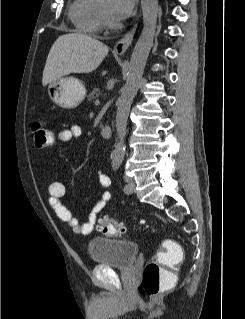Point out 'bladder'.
<instances>
[{
	"label": "bladder",
	"instance_id": "obj_1",
	"mask_svg": "<svg viewBox=\"0 0 245 319\" xmlns=\"http://www.w3.org/2000/svg\"><path fill=\"white\" fill-rule=\"evenodd\" d=\"M88 252L95 264L129 268L138 254V245L128 240L94 238L88 244Z\"/></svg>",
	"mask_w": 245,
	"mask_h": 319
}]
</instances>
